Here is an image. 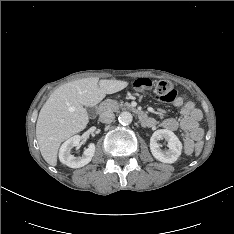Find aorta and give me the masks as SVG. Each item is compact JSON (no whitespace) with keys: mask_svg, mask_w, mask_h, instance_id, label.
<instances>
[{"mask_svg":"<svg viewBox=\"0 0 234 234\" xmlns=\"http://www.w3.org/2000/svg\"><path fill=\"white\" fill-rule=\"evenodd\" d=\"M118 120L122 125H129L133 120V116L130 112L124 111L119 115Z\"/></svg>","mask_w":234,"mask_h":234,"instance_id":"1","label":"aorta"}]
</instances>
